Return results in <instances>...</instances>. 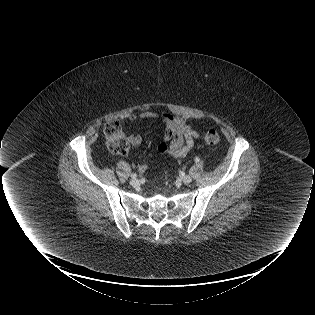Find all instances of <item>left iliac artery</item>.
Returning a JSON list of instances; mask_svg holds the SVG:
<instances>
[{
	"label": "left iliac artery",
	"instance_id": "1",
	"mask_svg": "<svg viewBox=\"0 0 315 315\" xmlns=\"http://www.w3.org/2000/svg\"><path fill=\"white\" fill-rule=\"evenodd\" d=\"M200 159L198 157L195 158V162H199Z\"/></svg>",
	"mask_w": 315,
	"mask_h": 315
}]
</instances>
